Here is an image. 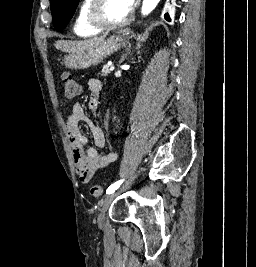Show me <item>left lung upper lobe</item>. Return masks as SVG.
Returning <instances> with one entry per match:
<instances>
[{
    "instance_id": "obj_1",
    "label": "left lung upper lobe",
    "mask_w": 256,
    "mask_h": 267,
    "mask_svg": "<svg viewBox=\"0 0 256 267\" xmlns=\"http://www.w3.org/2000/svg\"><path fill=\"white\" fill-rule=\"evenodd\" d=\"M79 0H50L53 25L57 31H61L72 18ZM165 19L170 21L169 15Z\"/></svg>"
}]
</instances>
